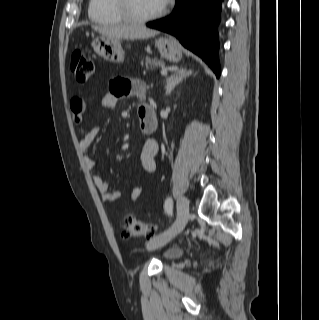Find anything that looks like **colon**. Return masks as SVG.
Listing matches in <instances>:
<instances>
[{
	"label": "colon",
	"instance_id": "5ec220e1",
	"mask_svg": "<svg viewBox=\"0 0 319 320\" xmlns=\"http://www.w3.org/2000/svg\"><path fill=\"white\" fill-rule=\"evenodd\" d=\"M71 69L80 83L87 82L94 73V65L91 59L81 50L73 52L71 57ZM157 229L156 223H147L135 217H126L122 226L124 238L145 237L152 238Z\"/></svg>",
	"mask_w": 319,
	"mask_h": 320
}]
</instances>
